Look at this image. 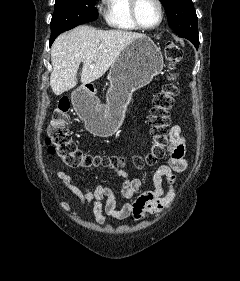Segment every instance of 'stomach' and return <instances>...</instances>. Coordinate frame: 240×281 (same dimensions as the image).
Returning <instances> with one entry per match:
<instances>
[{"instance_id":"obj_1","label":"stomach","mask_w":240,"mask_h":281,"mask_svg":"<svg viewBox=\"0 0 240 281\" xmlns=\"http://www.w3.org/2000/svg\"><path fill=\"white\" fill-rule=\"evenodd\" d=\"M163 64L160 49L151 38L144 35L132 41L111 66L106 104L95 101L84 88L87 99L76 107L87 129L102 137L114 134L122 124L132 93L148 85L162 71Z\"/></svg>"}]
</instances>
